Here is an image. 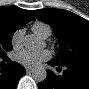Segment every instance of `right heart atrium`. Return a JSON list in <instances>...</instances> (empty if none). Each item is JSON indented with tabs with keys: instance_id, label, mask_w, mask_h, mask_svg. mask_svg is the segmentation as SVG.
Listing matches in <instances>:
<instances>
[{
	"instance_id": "obj_1",
	"label": "right heart atrium",
	"mask_w": 89,
	"mask_h": 89,
	"mask_svg": "<svg viewBox=\"0 0 89 89\" xmlns=\"http://www.w3.org/2000/svg\"><path fill=\"white\" fill-rule=\"evenodd\" d=\"M23 32L21 30L16 31L12 36V45L15 48L21 46Z\"/></svg>"
}]
</instances>
